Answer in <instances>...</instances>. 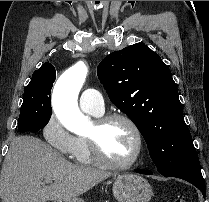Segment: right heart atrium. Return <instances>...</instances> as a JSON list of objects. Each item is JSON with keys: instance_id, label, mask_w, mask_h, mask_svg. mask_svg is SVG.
<instances>
[{"instance_id": "obj_1", "label": "right heart atrium", "mask_w": 209, "mask_h": 202, "mask_svg": "<svg viewBox=\"0 0 209 202\" xmlns=\"http://www.w3.org/2000/svg\"><path fill=\"white\" fill-rule=\"evenodd\" d=\"M42 133L46 142L63 155L68 156L74 148L76 138L63 127L55 114L48 117Z\"/></svg>"}]
</instances>
